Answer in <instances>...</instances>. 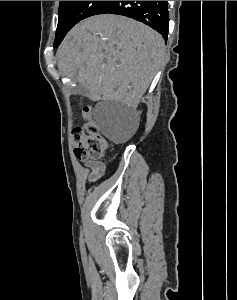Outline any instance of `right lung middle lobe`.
I'll return each instance as SVG.
<instances>
[{
    "label": "right lung middle lobe",
    "mask_w": 237,
    "mask_h": 300,
    "mask_svg": "<svg viewBox=\"0 0 237 300\" xmlns=\"http://www.w3.org/2000/svg\"><path fill=\"white\" fill-rule=\"evenodd\" d=\"M108 1H60L58 26L54 41L57 47L67 32L79 21L95 15Z\"/></svg>",
    "instance_id": "obj_1"
}]
</instances>
